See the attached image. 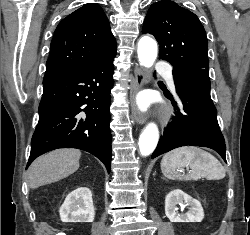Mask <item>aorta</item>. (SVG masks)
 <instances>
[{
    "label": "aorta",
    "mask_w": 250,
    "mask_h": 235,
    "mask_svg": "<svg viewBox=\"0 0 250 235\" xmlns=\"http://www.w3.org/2000/svg\"><path fill=\"white\" fill-rule=\"evenodd\" d=\"M157 57V43L150 37H142L138 42V58L140 65L151 67ZM159 131L155 124L146 126L139 138V150L142 156L150 155L156 148Z\"/></svg>",
    "instance_id": "obj_1"
}]
</instances>
